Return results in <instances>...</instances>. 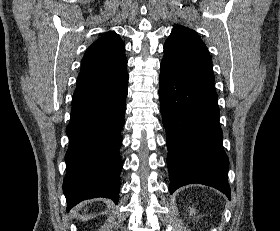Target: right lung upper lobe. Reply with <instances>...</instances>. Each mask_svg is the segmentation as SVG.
<instances>
[{"label":"right lung upper lobe","instance_id":"obj_1","mask_svg":"<svg viewBox=\"0 0 280 231\" xmlns=\"http://www.w3.org/2000/svg\"><path fill=\"white\" fill-rule=\"evenodd\" d=\"M72 104L89 101L127 85L125 44L107 32L85 52Z\"/></svg>","mask_w":280,"mask_h":231}]
</instances>
